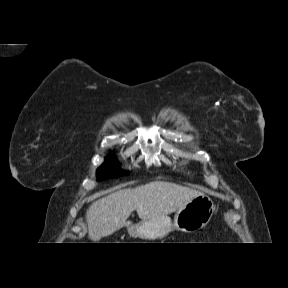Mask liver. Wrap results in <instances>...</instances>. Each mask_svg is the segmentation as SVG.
I'll use <instances>...</instances> for the list:
<instances>
[{
    "label": "liver",
    "instance_id": "liver-1",
    "mask_svg": "<svg viewBox=\"0 0 288 288\" xmlns=\"http://www.w3.org/2000/svg\"><path fill=\"white\" fill-rule=\"evenodd\" d=\"M200 193L166 181H153L133 189H122L92 203L86 213L88 236L99 241L123 226L136 210L140 219L167 216L186 205Z\"/></svg>",
    "mask_w": 288,
    "mask_h": 288
}]
</instances>
